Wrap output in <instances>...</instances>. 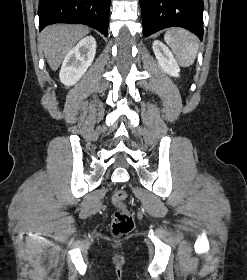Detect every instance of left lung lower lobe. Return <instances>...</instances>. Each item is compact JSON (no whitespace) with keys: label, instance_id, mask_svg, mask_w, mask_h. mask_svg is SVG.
Returning <instances> with one entry per match:
<instances>
[{"label":"left lung lower lobe","instance_id":"1","mask_svg":"<svg viewBox=\"0 0 247 280\" xmlns=\"http://www.w3.org/2000/svg\"><path fill=\"white\" fill-rule=\"evenodd\" d=\"M143 34L147 37L161 29L183 27L203 38V0H140Z\"/></svg>","mask_w":247,"mask_h":280}]
</instances>
